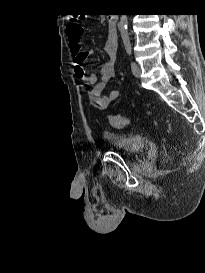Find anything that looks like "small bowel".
<instances>
[{
  "instance_id": "c3829d8e",
  "label": "small bowel",
  "mask_w": 205,
  "mask_h": 273,
  "mask_svg": "<svg viewBox=\"0 0 205 273\" xmlns=\"http://www.w3.org/2000/svg\"><path fill=\"white\" fill-rule=\"evenodd\" d=\"M70 40V51L75 57L73 62L74 75L82 82L84 87L93 86L91 89H85L91 105L98 110L106 109L120 94L117 89L109 91L106 95L103 94L107 82L113 77V64L118 49L117 41L108 36L104 45V52L108 57V61L101 66L99 73L87 74L84 63L93 51L91 49L83 51L77 41Z\"/></svg>"
}]
</instances>
